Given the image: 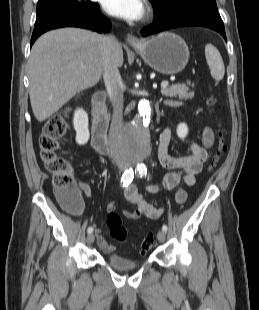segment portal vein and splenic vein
<instances>
[{
  "label": "portal vein and splenic vein",
  "instance_id": "portal-vein-and-splenic-vein-1",
  "mask_svg": "<svg viewBox=\"0 0 259 310\" xmlns=\"http://www.w3.org/2000/svg\"><path fill=\"white\" fill-rule=\"evenodd\" d=\"M169 85V82L168 81H163L161 83V87H167Z\"/></svg>",
  "mask_w": 259,
  "mask_h": 310
}]
</instances>
